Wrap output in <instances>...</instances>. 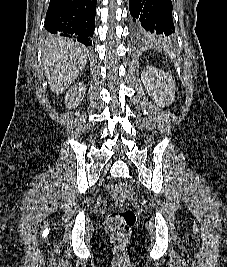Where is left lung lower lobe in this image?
<instances>
[{"label": "left lung lower lobe", "mask_w": 227, "mask_h": 267, "mask_svg": "<svg viewBox=\"0 0 227 267\" xmlns=\"http://www.w3.org/2000/svg\"><path fill=\"white\" fill-rule=\"evenodd\" d=\"M129 10L137 37L174 34L171 0H129Z\"/></svg>", "instance_id": "0a47b994"}]
</instances>
